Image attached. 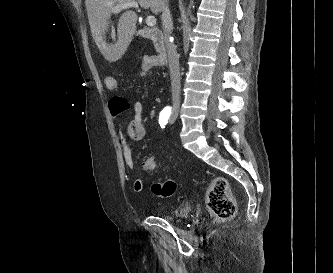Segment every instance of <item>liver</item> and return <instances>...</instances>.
Returning a JSON list of instances; mask_svg holds the SVG:
<instances>
[{"mask_svg": "<svg viewBox=\"0 0 333 273\" xmlns=\"http://www.w3.org/2000/svg\"><path fill=\"white\" fill-rule=\"evenodd\" d=\"M127 0H85L92 37L103 55L109 62L119 60L126 52L136 30L137 14L134 11L124 12L118 22V40L114 44L106 42V33L110 19L116 6ZM134 1V0H133ZM144 9H151L154 14L161 12L162 0H137Z\"/></svg>", "mask_w": 333, "mask_h": 273, "instance_id": "liver-1", "label": "liver"}]
</instances>
